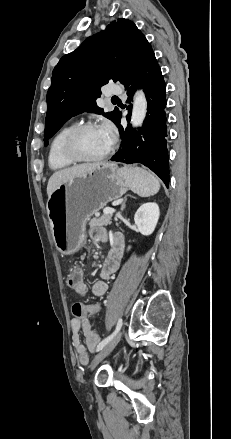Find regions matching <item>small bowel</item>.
I'll return each mask as SVG.
<instances>
[{
	"instance_id": "c3829d8e",
	"label": "small bowel",
	"mask_w": 231,
	"mask_h": 439,
	"mask_svg": "<svg viewBox=\"0 0 231 439\" xmlns=\"http://www.w3.org/2000/svg\"><path fill=\"white\" fill-rule=\"evenodd\" d=\"M90 237L95 244L110 240V250L100 271L102 280L96 282L93 286V294L101 297L108 289L105 280H108L119 268L124 251V238L120 233H115L109 237L108 232L104 228L99 227H94L90 230ZM75 290L79 298H87L90 285L89 283H76ZM100 311L101 304L98 302L94 304L75 303L72 307V343L74 351L83 365H87L89 362V351L93 352L100 342L99 335L92 329L90 324V316L98 314ZM80 332L85 337L86 346L81 341Z\"/></svg>"
}]
</instances>
